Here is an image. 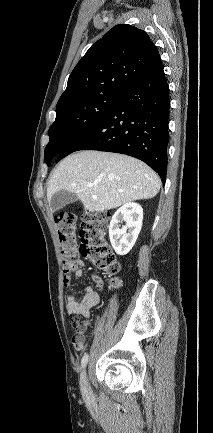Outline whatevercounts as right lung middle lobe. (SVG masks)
I'll return each instance as SVG.
<instances>
[{
    "mask_svg": "<svg viewBox=\"0 0 213 433\" xmlns=\"http://www.w3.org/2000/svg\"><path fill=\"white\" fill-rule=\"evenodd\" d=\"M119 94H97L56 109L49 128L50 140L44 152L48 166L70 143L98 123L118 102Z\"/></svg>",
    "mask_w": 213,
    "mask_h": 433,
    "instance_id": "dd1d6c3e",
    "label": "right lung middle lobe"
}]
</instances>
